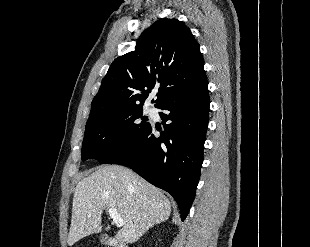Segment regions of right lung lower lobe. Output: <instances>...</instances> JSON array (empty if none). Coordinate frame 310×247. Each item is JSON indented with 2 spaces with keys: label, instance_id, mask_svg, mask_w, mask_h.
Masks as SVG:
<instances>
[{
  "label": "right lung lower lobe",
  "instance_id": "obj_1",
  "mask_svg": "<svg viewBox=\"0 0 310 247\" xmlns=\"http://www.w3.org/2000/svg\"><path fill=\"white\" fill-rule=\"evenodd\" d=\"M159 113L164 131L154 136L151 125L135 144L109 164L129 166L177 201L185 220L195 197L209 122L208 81L167 100ZM167 122V123H166Z\"/></svg>",
  "mask_w": 310,
  "mask_h": 247
}]
</instances>
